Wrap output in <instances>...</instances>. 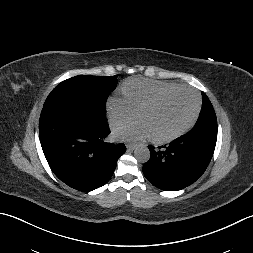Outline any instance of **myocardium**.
<instances>
[{
    "instance_id": "f54148a6",
    "label": "myocardium",
    "mask_w": 253,
    "mask_h": 253,
    "mask_svg": "<svg viewBox=\"0 0 253 253\" xmlns=\"http://www.w3.org/2000/svg\"><path fill=\"white\" fill-rule=\"evenodd\" d=\"M179 91H188L194 95V97L196 99L195 111H194L191 119L176 132H174L168 136H165V137H152V141L154 143L164 144V143L172 142V141L176 140L177 138H179L180 136H182L183 134H185L195 124V122L200 114V110H201V99H200L199 94L194 89H192L188 86L178 85L174 88H171L169 90L159 93L158 95H156L154 98L149 100L147 103L142 105L137 110V116H138L141 112L156 106L158 103H160L166 97L170 96L173 93L179 92Z\"/></svg>"
}]
</instances>
